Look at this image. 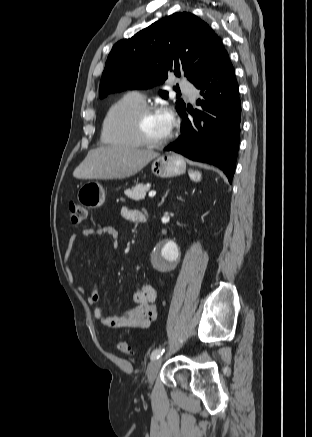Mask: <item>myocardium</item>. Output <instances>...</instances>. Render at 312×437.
<instances>
[{
  "instance_id": "f54148a6",
  "label": "myocardium",
  "mask_w": 312,
  "mask_h": 437,
  "mask_svg": "<svg viewBox=\"0 0 312 437\" xmlns=\"http://www.w3.org/2000/svg\"><path fill=\"white\" fill-rule=\"evenodd\" d=\"M159 108L154 105L143 104L140 106L132 115V129L134 135L141 145L150 146V147H159L168 144L172 139V133H169L168 136L163 140H152L148 138L143 130L142 123L143 119L152 113L158 112Z\"/></svg>"
}]
</instances>
